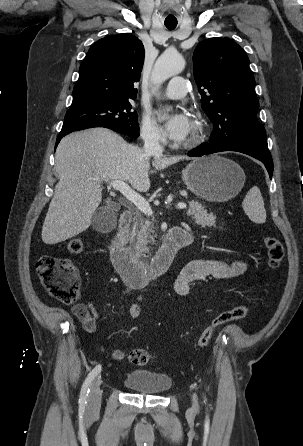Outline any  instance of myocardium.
<instances>
[{"instance_id": "obj_1", "label": "myocardium", "mask_w": 303, "mask_h": 446, "mask_svg": "<svg viewBox=\"0 0 303 446\" xmlns=\"http://www.w3.org/2000/svg\"><path fill=\"white\" fill-rule=\"evenodd\" d=\"M195 129L190 139L180 144L183 148H194L202 143L205 136V121L198 111L193 112Z\"/></svg>"}]
</instances>
